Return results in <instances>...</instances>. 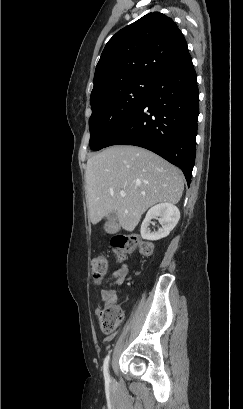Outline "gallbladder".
<instances>
[{
  "label": "gallbladder",
  "mask_w": 243,
  "mask_h": 409,
  "mask_svg": "<svg viewBox=\"0 0 243 409\" xmlns=\"http://www.w3.org/2000/svg\"><path fill=\"white\" fill-rule=\"evenodd\" d=\"M117 220L116 213H111L107 218V227L110 229Z\"/></svg>",
  "instance_id": "1"
}]
</instances>
